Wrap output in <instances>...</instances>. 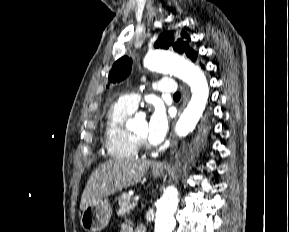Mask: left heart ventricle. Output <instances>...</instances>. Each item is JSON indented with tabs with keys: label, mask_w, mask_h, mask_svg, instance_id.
<instances>
[{
	"label": "left heart ventricle",
	"mask_w": 289,
	"mask_h": 232,
	"mask_svg": "<svg viewBox=\"0 0 289 232\" xmlns=\"http://www.w3.org/2000/svg\"><path fill=\"white\" fill-rule=\"evenodd\" d=\"M132 133L137 135L138 137L147 139V122L143 119L137 121Z\"/></svg>",
	"instance_id": "1"
}]
</instances>
